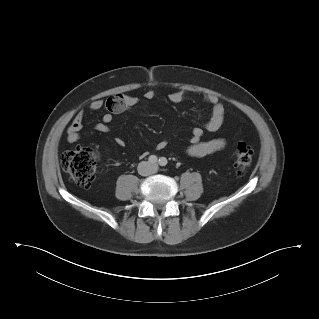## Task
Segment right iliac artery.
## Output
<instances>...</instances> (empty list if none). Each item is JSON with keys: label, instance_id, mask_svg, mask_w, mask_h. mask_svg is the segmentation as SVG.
I'll use <instances>...</instances> for the list:
<instances>
[{"label": "right iliac artery", "instance_id": "82829eb1", "mask_svg": "<svg viewBox=\"0 0 319 319\" xmlns=\"http://www.w3.org/2000/svg\"><path fill=\"white\" fill-rule=\"evenodd\" d=\"M157 157L155 156V155H151L150 157H149V162L151 163V164H155L156 162H157Z\"/></svg>", "mask_w": 319, "mask_h": 319}]
</instances>
